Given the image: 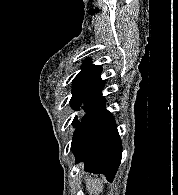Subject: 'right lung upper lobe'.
Here are the masks:
<instances>
[{
  "mask_svg": "<svg viewBox=\"0 0 178 195\" xmlns=\"http://www.w3.org/2000/svg\"><path fill=\"white\" fill-rule=\"evenodd\" d=\"M101 71V66L92 65L90 60L86 59L81 66V72L72 82L73 96H101L105 83L100 77Z\"/></svg>",
  "mask_w": 178,
  "mask_h": 195,
  "instance_id": "right-lung-upper-lobe-1",
  "label": "right lung upper lobe"
}]
</instances>
